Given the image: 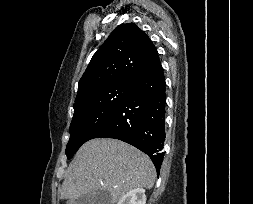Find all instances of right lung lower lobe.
Wrapping results in <instances>:
<instances>
[{
  "label": "right lung lower lobe",
  "instance_id": "obj_1",
  "mask_svg": "<svg viewBox=\"0 0 253 204\" xmlns=\"http://www.w3.org/2000/svg\"><path fill=\"white\" fill-rule=\"evenodd\" d=\"M165 77L159 57L139 76L93 138H115L146 153L159 173L165 141Z\"/></svg>",
  "mask_w": 253,
  "mask_h": 204
}]
</instances>
